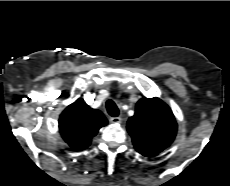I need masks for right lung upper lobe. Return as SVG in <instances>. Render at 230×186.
<instances>
[{"mask_svg": "<svg viewBox=\"0 0 230 186\" xmlns=\"http://www.w3.org/2000/svg\"><path fill=\"white\" fill-rule=\"evenodd\" d=\"M105 125L107 119L103 113L81 101L69 105L59 118L60 133L74 150L87 148L91 138Z\"/></svg>", "mask_w": 230, "mask_h": 186, "instance_id": "obj_1", "label": "right lung upper lobe"}]
</instances>
